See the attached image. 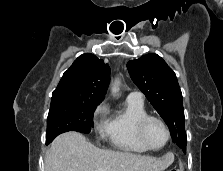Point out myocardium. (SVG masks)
<instances>
[{"label": "myocardium", "instance_id": "obj_1", "mask_svg": "<svg viewBox=\"0 0 223 171\" xmlns=\"http://www.w3.org/2000/svg\"><path fill=\"white\" fill-rule=\"evenodd\" d=\"M151 121L159 122L164 127L167 134L164 144H162L159 147L151 145L146 138V127ZM137 135H138L139 140L142 142V144L146 146L149 150H160L168 144L171 138V131L168 124L161 117L154 116V115H147L143 117L142 119H140L139 122L137 123Z\"/></svg>", "mask_w": 223, "mask_h": 171}]
</instances>
